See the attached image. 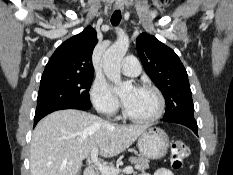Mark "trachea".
I'll return each mask as SVG.
<instances>
[{"instance_id":"trachea-1","label":"trachea","mask_w":233,"mask_h":175,"mask_svg":"<svg viewBox=\"0 0 233 175\" xmlns=\"http://www.w3.org/2000/svg\"><path fill=\"white\" fill-rule=\"evenodd\" d=\"M121 21V11L116 10L111 17V24L117 26Z\"/></svg>"}]
</instances>
